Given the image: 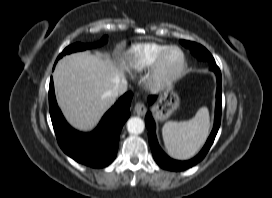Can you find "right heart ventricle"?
Returning a JSON list of instances; mask_svg holds the SVG:
<instances>
[{"label":"right heart ventricle","mask_w":272,"mask_h":198,"mask_svg":"<svg viewBox=\"0 0 272 198\" xmlns=\"http://www.w3.org/2000/svg\"><path fill=\"white\" fill-rule=\"evenodd\" d=\"M168 47L169 45L158 42L134 45L127 53L126 67L136 72L148 70Z\"/></svg>","instance_id":"e07e8e85"}]
</instances>
